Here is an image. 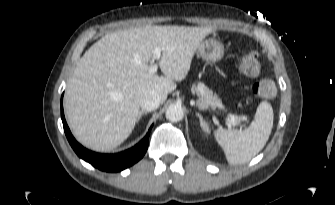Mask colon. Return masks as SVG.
Returning <instances> with one entry per match:
<instances>
[{"mask_svg": "<svg viewBox=\"0 0 335 205\" xmlns=\"http://www.w3.org/2000/svg\"><path fill=\"white\" fill-rule=\"evenodd\" d=\"M239 68L246 76H255L260 70V58L256 51H251L241 57ZM253 93L260 99H273L277 94L275 82L270 78H264L253 86Z\"/></svg>", "mask_w": 335, "mask_h": 205, "instance_id": "obj_1", "label": "colon"}]
</instances>
